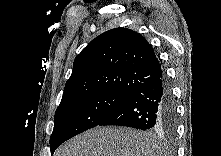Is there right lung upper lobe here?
Listing matches in <instances>:
<instances>
[{
	"label": "right lung upper lobe",
	"mask_w": 221,
	"mask_h": 156,
	"mask_svg": "<svg viewBox=\"0 0 221 156\" xmlns=\"http://www.w3.org/2000/svg\"><path fill=\"white\" fill-rule=\"evenodd\" d=\"M161 74L160 63L144 37L115 28L93 39L76 56L61 103L95 93L132 96Z\"/></svg>",
	"instance_id": "cb5924a9"
}]
</instances>
